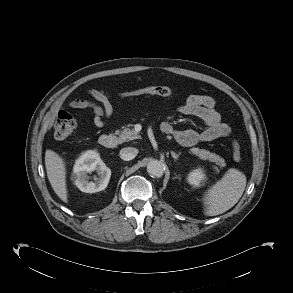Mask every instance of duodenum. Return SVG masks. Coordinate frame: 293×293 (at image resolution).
<instances>
[{
    "label": "duodenum",
    "mask_w": 293,
    "mask_h": 293,
    "mask_svg": "<svg viewBox=\"0 0 293 293\" xmlns=\"http://www.w3.org/2000/svg\"><path fill=\"white\" fill-rule=\"evenodd\" d=\"M99 143L106 149H113L117 146V138L113 134H103L99 138Z\"/></svg>",
    "instance_id": "obj_1"
}]
</instances>
